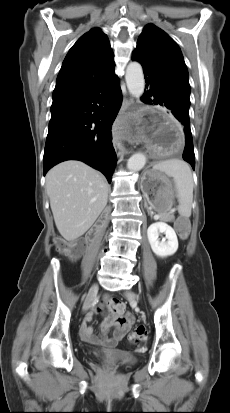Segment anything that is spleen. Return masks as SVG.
Masks as SVG:
<instances>
[{
  "label": "spleen",
  "instance_id": "spleen-1",
  "mask_svg": "<svg viewBox=\"0 0 230 413\" xmlns=\"http://www.w3.org/2000/svg\"><path fill=\"white\" fill-rule=\"evenodd\" d=\"M153 170L173 178L179 202L178 212L184 218L191 216L193 202V176L189 165L180 159H169L157 163Z\"/></svg>",
  "mask_w": 230,
  "mask_h": 413
}]
</instances>
